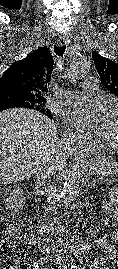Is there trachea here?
<instances>
[{
	"label": "trachea",
	"instance_id": "trachea-1",
	"mask_svg": "<svg viewBox=\"0 0 118 269\" xmlns=\"http://www.w3.org/2000/svg\"><path fill=\"white\" fill-rule=\"evenodd\" d=\"M66 50V45L63 46H54V52L56 53V55H58L59 57H62L64 55V52Z\"/></svg>",
	"mask_w": 118,
	"mask_h": 269
}]
</instances>
